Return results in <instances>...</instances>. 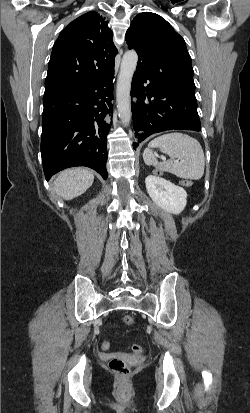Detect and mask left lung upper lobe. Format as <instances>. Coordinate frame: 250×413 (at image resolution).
<instances>
[{
	"label": "left lung upper lobe",
	"mask_w": 250,
	"mask_h": 413,
	"mask_svg": "<svg viewBox=\"0 0 250 413\" xmlns=\"http://www.w3.org/2000/svg\"><path fill=\"white\" fill-rule=\"evenodd\" d=\"M130 49L138 53V66L153 77L193 82L191 57L184 39L161 16L144 12L137 15L126 32Z\"/></svg>",
	"instance_id": "left-lung-upper-lobe-1"
}]
</instances>
